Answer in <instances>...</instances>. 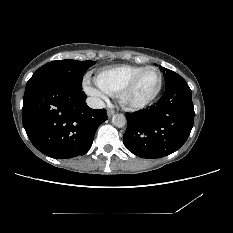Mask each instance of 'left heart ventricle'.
<instances>
[{
    "instance_id": "b2bd125f",
    "label": "left heart ventricle",
    "mask_w": 233,
    "mask_h": 233,
    "mask_svg": "<svg viewBox=\"0 0 233 233\" xmlns=\"http://www.w3.org/2000/svg\"><path fill=\"white\" fill-rule=\"evenodd\" d=\"M158 84V73L155 70H148L141 76L129 94V100L132 102H140L149 98L156 91Z\"/></svg>"
}]
</instances>
